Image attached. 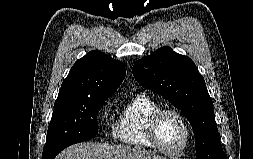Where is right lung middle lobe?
Listing matches in <instances>:
<instances>
[{
  "label": "right lung middle lobe",
  "instance_id": "right-lung-middle-lobe-1",
  "mask_svg": "<svg viewBox=\"0 0 253 159\" xmlns=\"http://www.w3.org/2000/svg\"><path fill=\"white\" fill-rule=\"evenodd\" d=\"M109 96L56 99L42 159H54L64 148L98 134L97 115Z\"/></svg>",
  "mask_w": 253,
  "mask_h": 159
}]
</instances>
